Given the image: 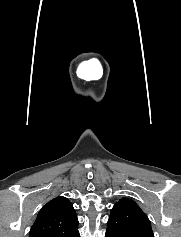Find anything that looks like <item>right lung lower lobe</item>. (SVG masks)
Segmentation results:
<instances>
[{"label": "right lung lower lobe", "mask_w": 181, "mask_h": 237, "mask_svg": "<svg viewBox=\"0 0 181 237\" xmlns=\"http://www.w3.org/2000/svg\"><path fill=\"white\" fill-rule=\"evenodd\" d=\"M76 237H80L79 233L76 235Z\"/></svg>", "instance_id": "right-lung-lower-lobe-1"}]
</instances>
